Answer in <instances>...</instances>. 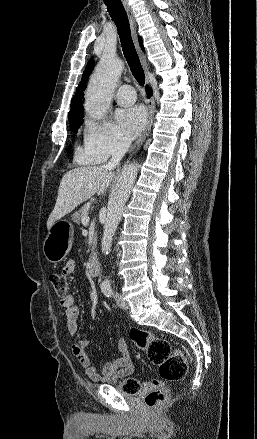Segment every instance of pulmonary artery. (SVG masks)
Masks as SVG:
<instances>
[{
    "mask_svg": "<svg viewBox=\"0 0 257 439\" xmlns=\"http://www.w3.org/2000/svg\"><path fill=\"white\" fill-rule=\"evenodd\" d=\"M117 103L120 105H131L136 100V94L132 86L123 85L121 86L115 95Z\"/></svg>",
    "mask_w": 257,
    "mask_h": 439,
    "instance_id": "e3ab8cb5",
    "label": "pulmonary artery"
}]
</instances>
